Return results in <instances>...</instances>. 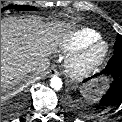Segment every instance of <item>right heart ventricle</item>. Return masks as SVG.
Returning <instances> with one entry per match:
<instances>
[{"label":"right heart ventricle","instance_id":"right-heart-ventricle-1","mask_svg":"<svg viewBox=\"0 0 122 122\" xmlns=\"http://www.w3.org/2000/svg\"><path fill=\"white\" fill-rule=\"evenodd\" d=\"M100 38V33L92 28H79L69 32L63 37L61 41V48L64 52L74 53Z\"/></svg>","mask_w":122,"mask_h":122}]
</instances>
